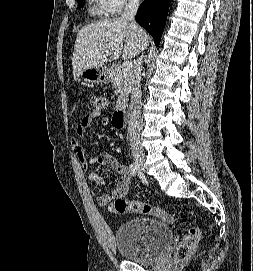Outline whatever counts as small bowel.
Masks as SVG:
<instances>
[{
    "instance_id": "obj_1",
    "label": "small bowel",
    "mask_w": 253,
    "mask_h": 271,
    "mask_svg": "<svg viewBox=\"0 0 253 271\" xmlns=\"http://www.w3.org/2000/svg\"><path fill=\"white\" fill-rule=\"evenodd\" d=\"M97 112L86 114L80 120L77 126L76 132L79 136H84L90 128L93 120L98 117ZM71 148L75 153L78 161L84 168H89L94 164L103 165L113 170H116L119 174V180L116 187L109 194H102L98 196L97 201L100 205L105 206L108 202L123 198L128 192V188L131 182L130 170L127 166L121 165L110 153L102 152L94 157H89L83 150V147L79 140H71ZM89 180L96 185H103L104 178L98 172H90L88 175Z\"/></svg>"
}]
</instances>
